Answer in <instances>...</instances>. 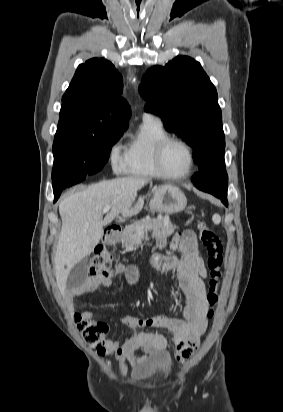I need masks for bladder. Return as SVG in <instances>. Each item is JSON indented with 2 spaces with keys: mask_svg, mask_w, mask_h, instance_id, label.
I'll use <instances>...</instances> for the list:
<instances>
[{
  "mask_svg": "<svg viewBox=\"0 0 283 412\" xmlns=\"http://www.w3.org/2000/svg\"><path fill=\"white\" fill-rule=\"evenodd\" d=\"M159 370L161 374L164 377H169L172 374V362L170 359H163L159 364H158ZM152 374V369H149L143 373H140L137 375V379L139 380H145L147 379L150 375Z\"/></svg>",
  "mask_w": 283,
  "mask_h": 412,
  "instance_id": "31cf9c89",
  "label": "bladder"
}]
</instances>
